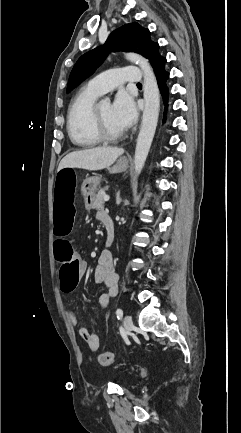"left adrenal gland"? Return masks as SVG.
Wrapping results in <instances>:
<instances>
[{
	"label": "left adrenal gland",
	"mask_w": 241,
	"mask_h": 433,
	"mask_svg": "<svg viewBox=\"0 0 241 433\" xmlns=\"http://www.w3.org/2000/svg\"><path fill=\"white\" fill-rule=\"evenodd\" d=\"M121 198H120V193L118 192L117 193V195H116V202H117V204L119 205L120 203H121Z\"/></svg>",
	"instance_id": "1"
}]
</instances>
